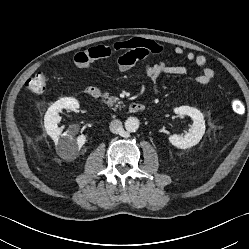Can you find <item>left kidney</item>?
I'll return each instance as SVG.
<instances>
[{"label": "left kidney", "mask_w": 249, "mask_h": 249, "mask_svg": "<svg viewBox=\"0 0 249 249\" xmlns=\"http://www.w3.org/2000/svg\"><path fill=\"white\" fill-rule=\"evenodd\" d=\"M174 112L179 115H187L191 117L193 124L184 137L174 134L169 136V142L180 149L190 148L198 144L206 129L203 114L198 109L189 106L174 108Z\"/></svg>", "instance_id": "1"}]
</instances>
